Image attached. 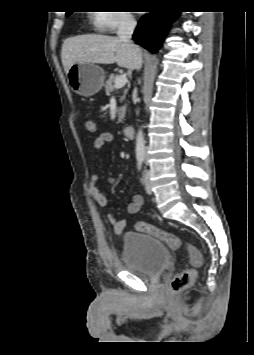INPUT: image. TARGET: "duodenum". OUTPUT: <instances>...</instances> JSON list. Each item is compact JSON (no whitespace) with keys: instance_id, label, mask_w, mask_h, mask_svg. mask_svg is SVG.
<instances>
[{"instance_id":"410a0bca","label":"duodenum","mask_w":254,"mask_h":355,"mask_svg":"<svg viewBox=\"0 0 254 355\" xmlns=\"http://www.w3.org/2000/svg\"><path fill=\"white\" fill-rule=\"evenodd\" d=\"M123 134L127 137V138H131L134 135V127L132 125H126L123 128Z\"/></svg>"}]
</instances>
